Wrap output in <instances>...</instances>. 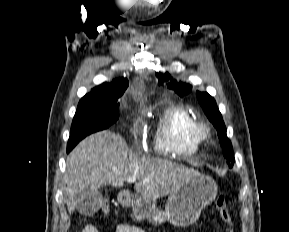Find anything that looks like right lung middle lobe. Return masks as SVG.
<instances>
[{"label":"right lung middle lobe","mask_w":289,"mask_h":232,"mask_svg":"<svg viewBox=\"0 0 289 232\" xmlns=\"http://www.w3.org/2000/svg\"><path fill=\"white\" fill-rule=\"evenodd\" d=\"M118 99L82 98L75 113L67 152L87 135L108 128L119 118Z\"/></svg>","instance_id":"dd1d6c3e"}]
</instances>
